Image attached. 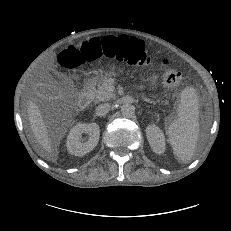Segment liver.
Masks as SVG:
<instances>
[{
	"instance_id": "liver-1",
	"label": "liver",
	"mask_w": 231,
	"mask_h": 231,
	"mask_svg": "<svg viewBox=\"0 0 231 231\" xmlns=\"http://www.w3.org/2000/svg\"><path fill=\"white\" fill-rule=\"evenodd\" d=\"M28 118L31 130L41 148L40 155L50 160L55 158L56 155L54 154V151L52 149L46 124L43 120L38 105L32 100H30L28 103Z\"/></svg>"
}]
</instances>
